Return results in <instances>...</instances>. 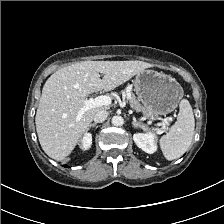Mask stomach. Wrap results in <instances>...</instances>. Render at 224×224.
<instances>
[{"label":"stomach","mask_w":224,"mask_h":224,"mask_svg":"<svg viewBox=\"0 0 224 224\" xmlns=\"http://www.w3.org/2000/svg\"><path fill=\"white\" fill-rule=\"evenodd\" d=\"M135 92L143 104V114L151 120L172 112L183 97V88L171 75L151 69L137 74Z\"/></svg>","instance_id":"obj_1"}]
</instances>
